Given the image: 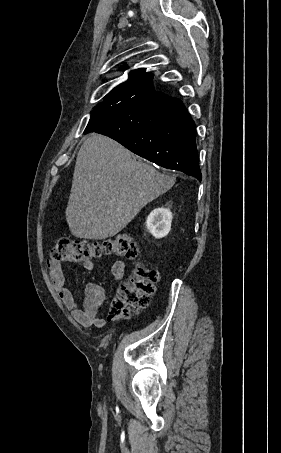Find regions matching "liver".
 Listing matches in <instances>:
<instances>
[{"instance_id":"1","label":"liver","mask_w":281,"mask_h":453,"mask_svg":"<svg viewBox=\"0 0 281 453\" xmlns=\"http://www.w3.org/2000/svg\"><path fill=\"white\" fill-rule=\"evenodd\" d=\"M176 178L133 158L122 144L91 132L77 154L66 220L77 239H108L127 227Z\"/></svg>"}]
</instances>
